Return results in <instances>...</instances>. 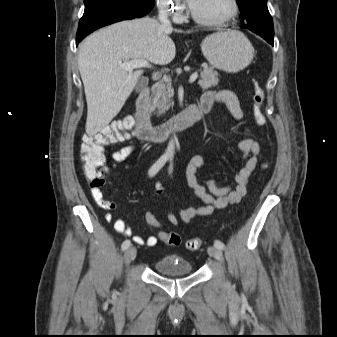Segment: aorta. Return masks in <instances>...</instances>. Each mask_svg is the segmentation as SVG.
Segmentation results:
<instances>
[{
    "label": "aorta",
    "instance_id": "1",
    "mask_svg": "<svg viewBox=\"0 0 337 337\" xmlns=\"http://www.w3.org/2000/svg\"><path fill=\"white\" fill-rule=\"evenodd\" d=\"M174 153H175V139L171 138L168 142V146L165 151V154L169 157H173Z\"/></svg>",
    "mask_w": 337,
    "mask_h": 337
}]
</instances>
